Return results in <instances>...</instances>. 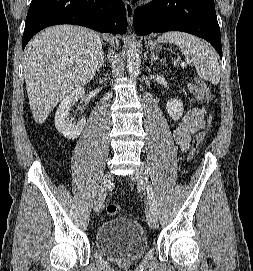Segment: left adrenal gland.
<instances>
[{"label":"left adrenal gland","mask_w":253,"mask_h":271,"mask_svg":"<svg viewBox=\"0 0 253 271\" xmlns=\"http://www.w3.org/2000/svg\"><path fill=\"white\" fill-rule=\"evenodd\" d=\"M153 61L162 62V59H160L157 55H155L154 51H151V63H153Z\"/></svg>","instance_id":"left-adrenal-gland-1"}]
</instances>
